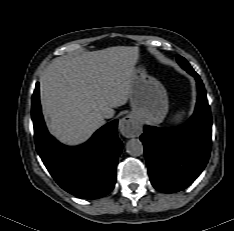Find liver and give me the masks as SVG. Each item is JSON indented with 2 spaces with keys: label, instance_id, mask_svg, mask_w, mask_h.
Returning a JSON list of instances; mask_svg holds the SVG:
<instances>
[{
  "label": "liver",
  "instance_id": "1",
  "mask_svg": "<svg viewBox=\"0 0 234 231\" xmlns=\"http://www.w3.org/2000/svg\"><path fill=\"white\" fill-rule=\"evenodd\" d=\"M131 61L129 48H109L57 61L42 79V98L54 133L66 141L71 137L66 132L77 127L88 137L101 126L102 102L116 106L123 101Z\"/></svg>",
  "mask_w": 234,
  "mask_h": 231
}]
</instances>
